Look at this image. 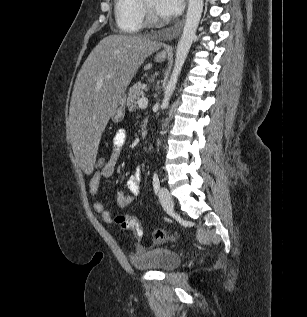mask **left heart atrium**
<instances>
[{"label":"left heart atrium","instance_id":"left-heart-atrium-1","mask_svg":"<svg viewBox=\"0 0 307 317\" xmlns=\"http://www.w3.org/2000/svg\"><path fill=\"white\" fill-rule=\"evenodd\" d=\"M184 0H156V12L164 17H173L181 13Z\"/></svg>","mask_w":307,"mask_h":317}]
</instances>
